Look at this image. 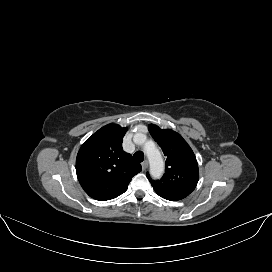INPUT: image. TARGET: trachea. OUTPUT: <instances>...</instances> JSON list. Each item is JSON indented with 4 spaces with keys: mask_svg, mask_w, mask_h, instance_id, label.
<instances>
[{
    "mask_svg": "<svg viewBox=\"0 0 272 272\" xmlns=\"http://www.w3.org/2000/svg\"><path fill=\"white\" fill-rule=\"evenodd\" d=\"M134 159L137 161V162H142L144 160V154L143 152L141 151H137L135 154H134Z\"/></svg>",
    "mask_w": 272,
    "mask_h": 272,
    "instance_id": "3493384b",
    "label": "trachea"
}]
</instances>
